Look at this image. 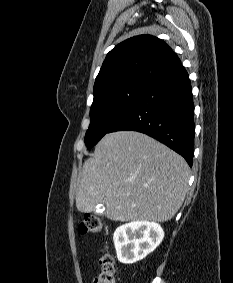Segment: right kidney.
I'll list each match as a JSON object with an SVG mask.
<instances>
[{"label": "right kidney", "mask_w": 233, "mask_h": 283, "mask_svg": "<svg viewBox=\"0 0 233 283\" xmlns=\"http://www.w3.org/2000/svg\"><path fill=\"white\" fill-rule=\"evenodd\" d=\"M164 231L155 222L133 221L118 227L113 235L118 260L133 264L153 252L162 242Z\"/></svg>", "instance_id": "obj_1"}]
</instances>
